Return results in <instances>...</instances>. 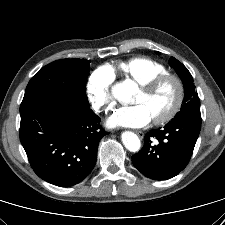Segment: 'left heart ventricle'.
Instances as JSON below:
<instances>
[{
  "label": "left heart ventricle",
  "instance_id": "1",
  "mask_svg": "<svg viewBox=\"0 0 225 225\" xmlns=\"http://www.w3.org/2000/svg\"><path fill=\"white\" fill-rule=\"evenodd\" d=\"M173 97L174 86L171 83H165L153 94H147L140 89L134 99V103L145 104L154 118L167 109Z\"/></svg>",
  "mask_w": 225,
  "mask_h": 225
}]
</instances>
